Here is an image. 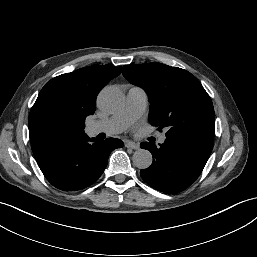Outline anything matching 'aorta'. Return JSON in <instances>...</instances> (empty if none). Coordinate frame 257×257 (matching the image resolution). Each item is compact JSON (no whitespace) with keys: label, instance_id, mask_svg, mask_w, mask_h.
Listing matches in <instances>:
<instances>
[{"label":"aorta","instance_id":"aorta-1","mask_svg":"<svg viewBox=\"0 0 257 257\" xmlns=\"http://www.w3.org/2000/svg\"><path fill=\"white\" fill-rule=\"evenodd\" d=\"M98 102L103 110L114 112L122 106L124 97L118 88L109 86L105 87L99 93ZM132 160L136 167L146 169L151 166L153 158L150 151L146 149H138L134 152Z\"/></svg>","mask_w":257,"mask_h":257}]
</instances>
